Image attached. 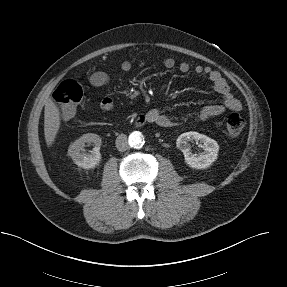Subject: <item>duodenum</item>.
Masks as SVG:
<instances>
[{
	"instance_id": "1",
	"label": "duodenum",
	"mask_w": 287,
	"mask_h": 287,
	"mask_svg": "<svg viewBox=\"0 0 287 287\" xmlns=\"http://www.w3.org/2000/svg\"><path fill=\"white\" fill-rule=\"evenodd\" d=\"M146 122H149L147 116H146V115H142V116H140V117L136 120V125H137V126H142V125H144Z\"/></svg>"
}]
</instances>
